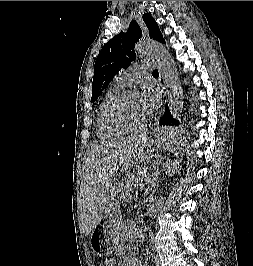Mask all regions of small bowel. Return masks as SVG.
I'll return each instance as SVG.
<instances>
[{
  "label": "small bowel",
  "mask_w": 253,
  "mask_h": 266,
  "mask_svg": "<svg viewBox=\"0 0 253 266\" xmlns=\"http://www.w3.org/2000/svg\"><path fill=\"white\" fill-rule=\"evenodd\" d=\"M116 262L115 260H109L108 266H115ZM121 266H142L137 259V257L133 255H128L123 258L122 262L120 263Z\"/></svg>",
  "instance_id": "c3829d8e"
}]
</instances>
